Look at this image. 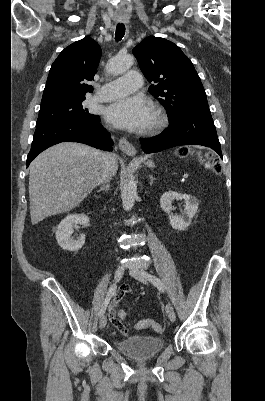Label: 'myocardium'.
<instances>
[{
	"mask_svg": "<svg viewBox=\"0 0 265 401\" xmlns=\"http://www.w3.org/2000/svg\"><path fill=\"white\" fill-rule=\"evenodd\" d=\"M152 110L153 118L151 123L147 126V131L151 133L161 129L165 125L167 120V115L161 106L154 105Z\"/></svg>",
	"mask_w": 265,
	"mask_h": 401,
	"instance_id": "1",
	"label": "myocardium"
}]
</instances>
